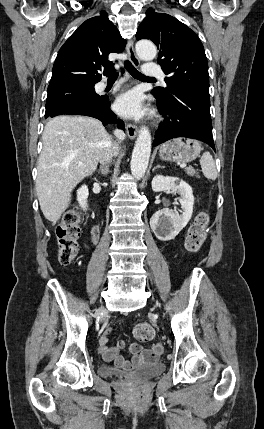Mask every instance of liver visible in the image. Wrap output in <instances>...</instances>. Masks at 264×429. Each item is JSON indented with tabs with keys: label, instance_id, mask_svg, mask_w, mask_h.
<instances>
[{
	"label": "liver",
	"instance_id": "liver-1",
	"mask_svg": "<svg viewBox=\"0 0 264 429\" xmlns=\"http://www.w3.org/2000/svg\"><path fill=\"white\" fill-rule=\"evenodd\" d=\"M42 141L36 193L44 217L55 224L76 185L96 170L111 136L95 118L56 116L46 124Z\"/></svg>",
	"mask_w": 264,
	"mask_h": 429
}]
</instances>
